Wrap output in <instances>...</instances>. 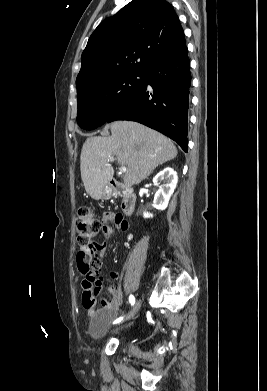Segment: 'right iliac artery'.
I'll return each mask as SVG.
<instances>
[{"label": "right iliac artery", "mask_w": 267, "mask_h": 391, "mask_svg": "<svg viewBox=\"0 0 267 391\" xmlns=\"http://www.w3.org/2000/svg\"><path fill=\"white\" fill-rule=\"evenodd\" d=\"M129 302H130L131 305H134V303H135V298H134L133 295H130V297H129ZM121 320H122V318L118 319L116 322H119V321H121Z\"/></svg>", "instance_id": "1"}]
</instances>
